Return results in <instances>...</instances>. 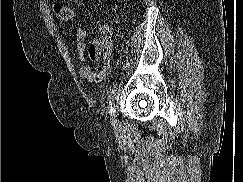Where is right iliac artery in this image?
<instances>
[{"instance_id":"right-iliac-artery-1","label":"right iliac artery","mask_w":243,"mask_h":182,"mask_svg":"<svg viewBox=\"0 0 243 182\" xmlns=\"http://www.w3.org/2000/svg\"><path fill=\"white\" fill-rule=\"evenodd\" d=\"M116 89H117V83L116 84L114 83L113 87L111 89L110 95L108 96V109H109L110 116H113V114H114V110H113L112 104H113V101H114V96H115ZM111 123L113 125H115V123H116L113 120L112 117H111Z\"/></svg>"}]
</instances>
